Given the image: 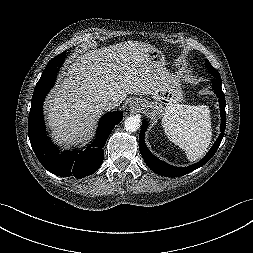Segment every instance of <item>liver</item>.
<instances>
[{"mask_svg":"<svg viewBox=\"0 0 253 253\" xmlns=\"http://www.w3.org/2000/svg\"><path fill=\"white\" fill-rule=\"evenodd\" d=\"M152 47L141 41L121 42L85 52L68 64L46 101L54 139L68 145L88 136L102 115L105 98L120 105L128 94L155 95L164 77L149 63Z\"/></svg>","mask_w":253,"mask_h":253,"instance_id":"1","label":"liver"}]
</instances>
